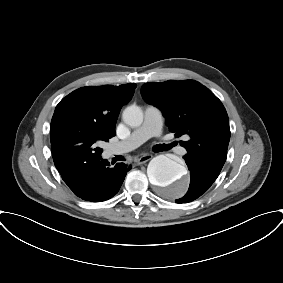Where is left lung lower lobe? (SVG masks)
Returning a JSON list of instances; mask_svg holds the SVG:
<instances>
[{
	"label": "left lung lower lobe",
	"mask_w": 283,
	"mask_h": 283,
	"mask_svg": "<svg viewBox=\"0 0 283 283\" xmlns=\"http://www.w3.org/2000/svg\"><path fill=\"white\" fill-rule=\"evenodd\" d=\"M186 164L190 170V186L186 195L177 199V203L190 202L201 196L216 180L219 173L209 171L192 159L184 157Z\"/></svg>",
	"instance_id": "obj_1"
}]
</instances>
